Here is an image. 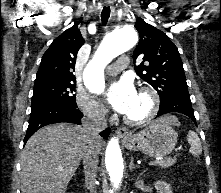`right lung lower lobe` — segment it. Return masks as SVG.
Returning a JSON list of instances; mask_svg holds the SVG:
<instances>
[{
  "label": "right lung lower lobe",
  "instance_id": "98d812e1",
  "mask_svg": "<svg viewBox=\"0 0 221 193\" xmlns=\"http://www.w3.org/2000/svg\"><path fill=\"white\" fill-rule=\"evenodd\" d=\"M83 113L77 109V106L65 104H53L32 109L30 114L29 126L24 138L26 141L41 127L52 123L70 122L80 124ZM110 129H105L100 135L106 139Z\"/></svg>",
  "mask_w": 221,
  "mask_h": 193
}]
</instances>
